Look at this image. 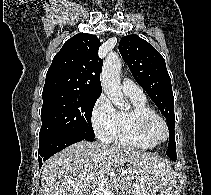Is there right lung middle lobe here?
<instances>
[{"instance_id":"dd1d6c3e","label":"right lung middle lobe","mask_w":211,"mask_h":195,"mask_svg":"<svg viewBox=\"0 0 211 195\" xmlns=\"http://www.w3.org/2000/svg\"><path fill=\"white\" fill-rule=\"evenodd\" d=\"M42 98L39 143L61 135L94 140L91 116L98 97L58 91L42 93Z\"/></svg>"}]
</instances>
